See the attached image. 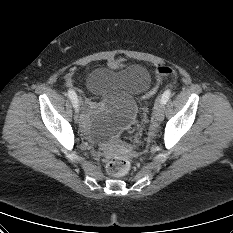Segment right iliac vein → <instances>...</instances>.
Returning <instances> with one entry per match:
<instances>
[{
    "mask_svg": "<svg viewBox=\"0 0 233 233\" xmlns=\"http://www.w3.org/2000/svg\"><path fill=\"white\" fill-rule=\"evenodd\" d=\"M77 107H75V115H74V119L76 122H78V112H79V99L77 101Z\"/></svg>",
    "mask_w": 233,
    "mask_h": 233,
    "instance_id": "right-iliac-vein-1",
    "label": "right iliac vein"
}]
</instances>
